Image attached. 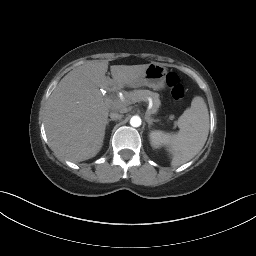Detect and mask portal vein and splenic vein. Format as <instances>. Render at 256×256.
<instances>
[{"mask_svg":"<svg viewBox=\"0 0 256 256\" xmlns=\"http://www.w3.org/2000/svg\"><path fill=\"white\" fill-rule=\"evenodd\" d=\"M147 114H150V109L147 110Z\"/></svg>","mask_w":256,"mask_h":256,"instance_id":"1","label":"portal vein and splenic vein"}]
</instances>
